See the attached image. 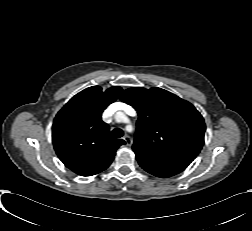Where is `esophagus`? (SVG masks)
<instances>
[{"label":"esophagus","mask_w":252,"mask_h":231,"mask_svg":"<svg viewBox=\"0 0 252 231\" xmlns=\"http://www.w3.org/2000/svg\"><path fill=\"white\" fill-rule=\"evenodd\" d=\"M123 139L126 142L127 146H130L132 144V139L130 138V136L125 135Z\"/></svg>","instance_id":"1"}]
</instances>
